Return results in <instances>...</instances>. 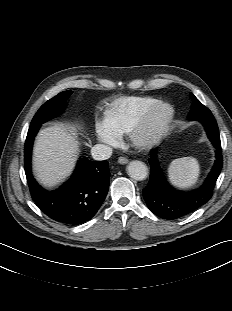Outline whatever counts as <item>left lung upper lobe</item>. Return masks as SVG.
Returning a JSON list of instances; mask_svg holds the SVG:
<instances>
[{
    "instance_id": "obj_1",
    "label": "left lung upper lobe",
    "mask_w": 232,
    "mask_h": 311,
    "mask_svg": "<svg viewBox=\"0 0 232 311\" xmlns=\"http://www.w3.org/2000/svg\"><path fill=\"white\" fill-rule=\"evenodd\" d=\"M191 98L193 100V103L189 113V117L211 113V111L207 107H205L192 93Z\"/></svg>"
}]
</instances>
